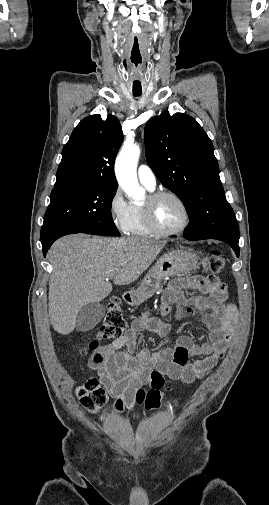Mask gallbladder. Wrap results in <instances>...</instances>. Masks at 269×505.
I'll use <instances>...</instances> for the list:
<instances>
[{"label":"gallbladder","mask_w":269,"mask_h":505,"mask_svg":"<svg viewBox=\"0 0 269 505\" xmlns=\"http://www.w3.org/2000/svg\"><path fill=\"white\" fill-rule=\"evenodd\" d=\"M105 308L99 302L84 305L76 318V329L81 332L92 330L104 317Z\"/></svg>","instance_id":"obj_1"}]
</instances>
